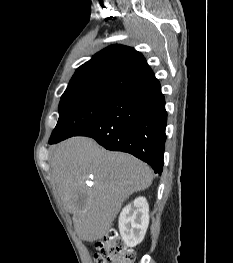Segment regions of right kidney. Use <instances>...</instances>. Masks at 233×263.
I'll return each mask as SVG.
<instances>
[{
    "mask_svg": "<svg viewBox=\"0 0 233 263\" xmlns=\"http://www.w3.org/2000/svg\"><path fill=\"white\" fill-rule=\"evenodd\" d=\"M149 224V205L145 197L136 198L122 209L119 216V231L128 247L142 242Z\"/></svg>",
    "mask_w": 233,
    "mask_h": 263,
    "instance_id": "ca27d5eb",
    "label": "right kidney"
}]
</instances>
